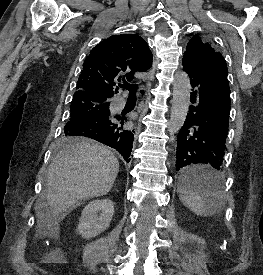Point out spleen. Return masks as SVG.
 Masks as SVG:
<instances>
[{
	"label": "spleen",
	"mask_w": 263,
	"mask_h": 275,
	"mask_svg": "<svg viewBox=\"0 0 263 275\" xmlns=\"http://www.w3.org/2000/svg\"><path fill=\"white\" fill-rule=\"evenodd\" d=\"M216 175L218 176L217 186L213 192L207 194L212 197L211 200L214 201L218 207H221L224 196V176L220 172H216ZM179 198L181 202L195 214L199 216L207 215L209 201L200 188L191 184H184L179 188Z\"/></svg>",
	"instance_id": "3e777b00"
}]
</instances>
